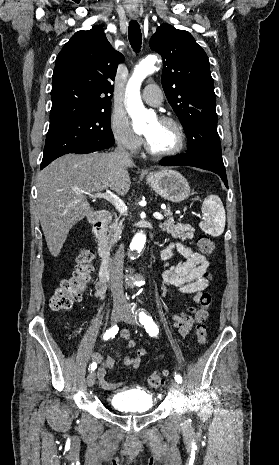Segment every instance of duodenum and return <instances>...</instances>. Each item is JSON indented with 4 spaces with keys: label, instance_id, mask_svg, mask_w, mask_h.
<instances>
[{
    "label": "duodenum",
    "instance_id": "410a0bca",
    "mask_svg": "<svg viewBox=\"0 0 279 465\" xmlns=\"http://www.w3.org/2000/svg\"><path fill=\"white\" fill-rule=\"evenodd\" d=\"M111 219L112 214L109 211H102L91 220L92 232L97 239V251L101 258L99 278L104 283L109 282L110 279V249L104 241V231Z\"/></svg>",
    "mask_w": 279,
    "mask_h": 465
}]
</instances>
